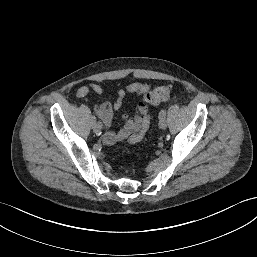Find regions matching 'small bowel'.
Listing matches in <instances>:
<instances>
[{
  "label": "small bowel",
  "instance_id": "c3829d8e",
  "mask_svg": "<svg viewBox=\"0 0 257 257\" xmlns=\"http://www.w3.org/2000/svg\"><path fill=\"white\" fill-rule=\"evenodd\" d=\"M150 89L151 87L147 83L133 82L125 89H121L116 92V101L114 104L103 102L99 106L95 107L97 115L103 121L107 129L103 137L106 144H114L120 141L136 143L142 140L150 124V116L145 103H139L134 116L126 118L124 125L117 131L111 129L113 112L122 107L123 102L128 95H146ZM90 93L103 94L104 89L97 83H89L80 87L76 91L75 97L83 98Z\"/></svg>",
  "mask_w": 257,
  "mask_h": 257
}]
</instances>
